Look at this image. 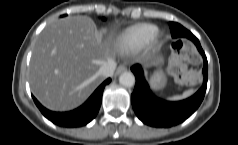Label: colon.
<instances>
[{
    "instance_id": "colon-1",
    "label": "colon",
    "mask_w": 238,
    "mask_h": 145,
    "mask_svg": "<svg viewBox=\"0 0 238 145\" xmlns=\"http://www.w3.org/2000/svg\"><path fill=\"white\" fill-rule=\"evenodd\" d=\"M188 62H199V56L195 47L187 41H176L172 45V55L168 71L179 83L193 84L198 79L197 73L188 70L186 65Z\"/></svg>"
}]
</instances>
